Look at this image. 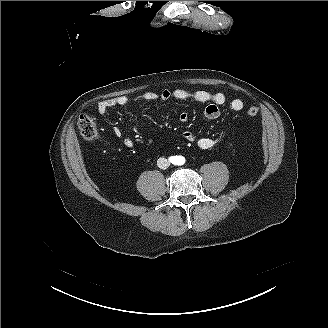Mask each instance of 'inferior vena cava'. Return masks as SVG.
<instances>
[{"mask_svg": "<svg viewBox=\"0 0 328 328\" xmlns=\"http://www.w3.org/2000/svg\"><path fill=\"white\" fill-rule=\"evenodd\" d=\"M157 165L160 168L166 169V168H168L170 166V162L166 158H159L157 160Z\"/></svg>", "mask_w": 328, "mask_h": 328, "instance_id": "obj_1", "label": "inferior vena cava"}]
</instances>
